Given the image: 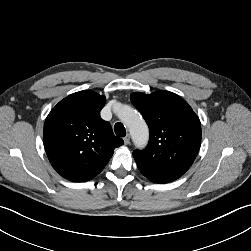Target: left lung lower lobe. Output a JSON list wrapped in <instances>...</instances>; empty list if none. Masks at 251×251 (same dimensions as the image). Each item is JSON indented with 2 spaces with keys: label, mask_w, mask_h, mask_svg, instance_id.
Segmentation results:
<instances>
[{
  "label": "left lung lower lobe",
  "mask_w": 251,
  "mask_h": 251,
  "mask_svg": "<svg viewBox=\"0 0 251 251\" xmlns=\"http://www.w3.org/2000/svg\"><path fill=\"white\" fill-rule=\"evenodd\" d=\"M138 169L145 177L155 183L171 182L182 176L176 173L153 171L142 167H138Z\"/></svg>",
  "instance_id": "left-lung-lower-lobe-1"
}]
</instances>
